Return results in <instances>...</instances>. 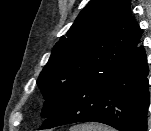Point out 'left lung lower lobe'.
<instances>
[{
	"mask_svg": "<svg viewBox=\"0 0 151 131\" xmlns=\"http://www.w3.org/2000/svg\"><path fill=\"white\" fill-rule=\"evenodd\" d=\"M131 59L109 70L85 74L39 130L76 122H100L119 131H147L149 105L146 53L138 46Z\"/></svg>",
	"mask_w": 151,
	"mask_h": 131,
	"instance_id": "left-lung-lower-lobe-1",
	"label": "left lung lower lobe"
}]
</instances>
